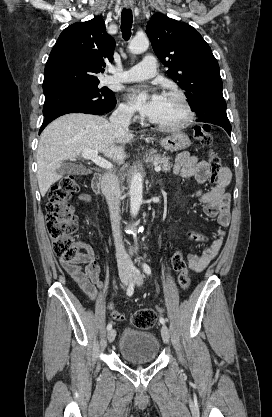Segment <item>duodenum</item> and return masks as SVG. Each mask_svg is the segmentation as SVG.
I'll use <instances>...</instances> for the list:
<instances>
[{"label": "duodenum", "mask_w": 272, "mask_h": 417, "mask_svg": "<svg viewBox=\"0 0 272 417\" xmlns=\"http://www.w3.org/2000/svg\"><path fill=\"white\" fill-rule=\"evenodd\" d=\"M102 180L103 178L100 173H96L92 179V188L96 193L101 192Z\"/></svg>", "instance_id": "1"}]
</instances>
